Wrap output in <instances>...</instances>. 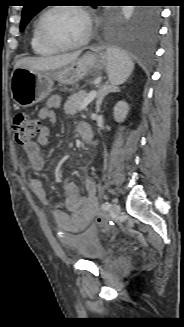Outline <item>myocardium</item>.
I'll return each instance as SVG.
<instances>
[{"mask_svg": "<svg viewBox=\"0 0 184 327\" xmlns=\"http://www.w3.org/2000/svg\"><path fill=\"white\" fill-rule=\"evenodd\" d=\"M64 8L72 9V10H75V11L79 12L80 14H82V16L84 17L86 24H87V30H86V33L84 34V36L80 40H78L74 43L63 44V43H59V42L53 40L48 35L46 28H45V22H46V18L48 17V15L55 10L64 9ZM37 29H38L39 37L45 45H47L48 47H50L56 51H66V50L76 49V48H79V47L85 45L92 36L93 26H92V20H91L90 14L84 7H82L80 5H53V6L48 7L40 15L39 20H38Z\"/></svg>", "mask_w": 184, "mask_h": 327, "instance_id": "obj_1", "label": "myocardium"}]
</instances>
